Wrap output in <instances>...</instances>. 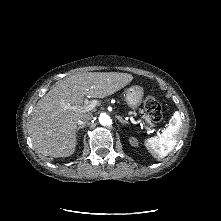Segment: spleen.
<instances>
[{"label":"spleen","instance_id":"3e777b00","mask_svg":"<svg viewBox=\"0 0 221 221\" xmlns=\"http://www.w3.org/2000/svg\"><path fill=\"white\" fill-rule=\"evenodd\" d=\"M182 127L180 113L176 111L171 117L168 127L161 135L146 140V146L154 158L166 157L176 146V135Z\"/></svg>","mask_w":221,"mask_h":221}]
</instances>
